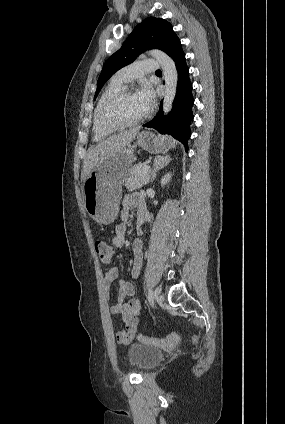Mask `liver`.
<instances>
[{
	"mask_svg": "<svg viewBox=\"0 0 285 424\" xmlns=\"http://www.w3.org/2000/svg\"><path fill=\"white\" fill-rule=\"evenodd\" d=\"M139 132L134 128L120 134L112 135L91 147L84 159L83 179L85 180L91 171L108 157L131 144Z\"/></svg>",
	"mask_w": 285,
	"mask_h": 424,
	"instance_id": "1",
	"label": "liver"
}]
</instances>
